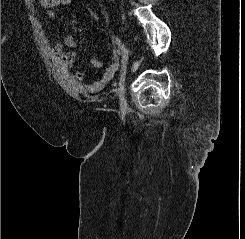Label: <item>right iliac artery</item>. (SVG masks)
Instances as JSON below:
<instances>
[{
  "label": "right iliac artery",
  "mask_w": 245,
  "mask_h": 239,
  "mask_svg": "<svg viewBox=\"0 0 245 239\" xmlns=\"http://www.w3.org/2000/svg\"><path fill=\"white\" fill-rule=\"evenodd\" d=\"M113 43L116 44V45H118V47H119L120 54H121V56H122V64H123V62H124V52H125V47H124V45L121 43V41H120L118 38H116V37H113Z\"/></svg>",
  "instance_id": "1"
}]
</instances>
